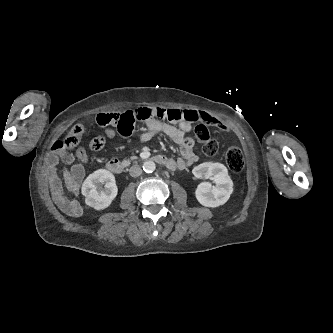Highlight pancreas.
<instances>
[{"mask_svg": "<svg viewBox=\"0 0 333 333\" xmlns=\"http://www.w3.org/2000/svg\"><path fill=\"white\" fill-rule=\"evenodd\" d=\"M135 159H137V156H135V155H133L129 158V160H135Z\"/></svg>", "mask_w": 333, "mask_h": 333, "instance_id": "obj_1", "label": "pancreas"}]
</instances>
